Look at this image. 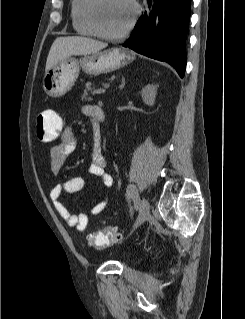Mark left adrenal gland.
<instances>
[{"label":"left adrenal gland","mask_w":245,"mask_h":319,"mask_svg":"<svg viewBox=\"0 0 245 319\" xmlns=\"http://www.w3.org/2000/svg\"><path fill=\"white\" fill-rule=\"evenodd\" d=\"M126 81H125V78L122 77V81H121V84L119 85V88L122 89L125 85Z\"/></svg>","instance_id":"left-adrenal-gland-1"}]
</instances>
